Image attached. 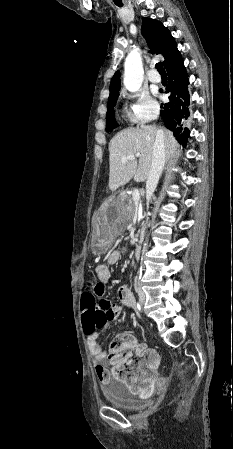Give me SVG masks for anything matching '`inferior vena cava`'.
Instances as JSON below:
<instances>
[{"instance_id": "inferior-vena-cava-1", "label": "inferior vena cava", "mask_w": 233, "mask_h": 449, "mask_svg": "<svg viewBox=\"0 0 233 449\" xmlns=\"http://www.w3.org/2000/svg\"><path fill=\"white\" fill-rule=\"evenodd\" d=\"M165 143L164 134L159 131L156 135L153 150L150 172L146 181L147 199L150 201L154 191L156 190L160 175L165 164Z\"/></svg>"}]
</instances>
